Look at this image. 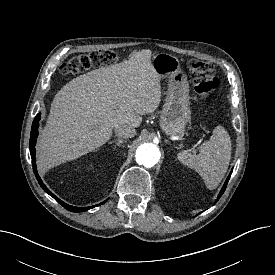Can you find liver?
<instances>
[{
    "label": "liver",
    "mask_w": 275,
    "mask_h": 275,
    "mask_svg": "<svg viewBox=\"0 0 275 275\" xmlns=\"http://www.w3.org/2000/svg\"><path fill=\"white\" fill-rule=\"evenodd\" d=\"M151 55L150 49L141 50L127 61L80 75L55 95L37 145L41 171L102 146L117 125L138 127L140 115L158 108L160 76Z\"/></svg>",
    "instance_id": "1"
}]
</instances>
